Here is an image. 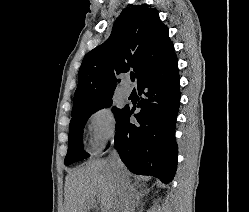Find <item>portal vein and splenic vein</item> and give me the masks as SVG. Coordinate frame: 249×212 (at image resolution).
Returning a JSON list of instances; mask_svg holds the SVG:
<instances>
[{
    "label": "portal vein and splenic vein",
    "instance_id": "18ae733b",
    "mask_svg": "<svg viewBox=\"0 0 249 212\" xmlns=\"http://www.w3.org/2000/svg\"><path fill=\"white\" fill-rule=\"evenodd\" d=\"M93 206H96V202H93Z\"/></svg>",
    "mask_w": 249,
    "mask_h": 212
}]
</instances>
